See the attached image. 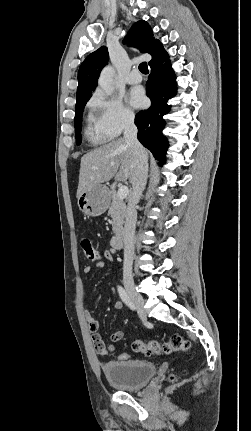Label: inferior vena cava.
Segmentation results:
<instances>
[{"instance_id": "1", "label": "inferior vena cava", "mask_w": 251, "mask_h": 431, "mask_svg": "<svg viewBox=\"0 0 251 431\" xmlns=\"http://www.w3.org/2000/svg\"><path fill=\"white\" fill-rule=\"evenodd\" d=\"M124 139L133 149L135 174L132 179V193L129 197L126 211V220L123 232L124 238V262L123 277L132 279V265L134 258V235L137 220V204L145 189L148 177V160L145 150L137 139V127L134 117L127 119L124 129Z\"/></svg>"}]
</instances>
